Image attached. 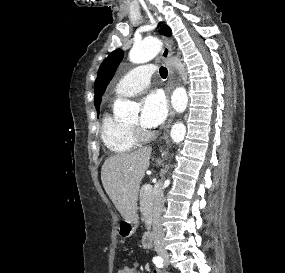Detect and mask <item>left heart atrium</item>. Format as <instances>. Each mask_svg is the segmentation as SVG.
Instances as JSON below:
<instances>
[{
  "instance_id": "left-heart-atrium-1",
  "label": "left heart atrium",
  "mask_w": 285,
  "mask_h": 273,
  "mask_svg": "<svg viewBox=\"0 0 285 273\" xmlns=\"http://www.w3.org/2000/svg\"><path fill=\"white\" fill-rule=\"evenodd\" d=\"M167 101L161 91L154 90L141 101L140 124L145 129L158 127L166 118Z\"/></svg>"
}]
</instances>
